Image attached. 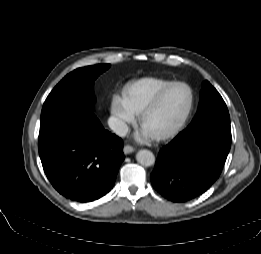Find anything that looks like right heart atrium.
I'll use <instances>...</instances> for the list:
<instances>
[{
  "label": "right heart atrium",
  "mask_w": 261,
  "mask_h": 254,
  "mask_svg": "<svg viewBox=\"0 0 261 254\" xmlns=\"http://www.w3.org/2000/svg\"><path fill=\"white\" fill-rule=\"evenodd\" d=\"M111 114L115 122V129L119 133H124L128 125L136 119L135 112L130 107L126 95H115L111 104Z\"/></svg>",
  "instance_id": "obj_1"
}]
</instances>
